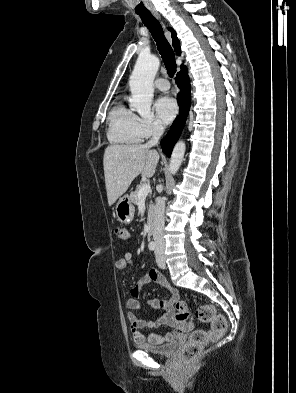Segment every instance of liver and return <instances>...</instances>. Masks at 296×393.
<instances>
[{
  "label": "liver",
  "instance_id": "1",
  "mask_svg": "<svg viewBox=\"0 0 296 393\" xmlns=\"http://www.w3.org/2000/svg\"><path fill=\"white\" fill-rule=\"evenodd\" d=\"M158 161L157 151L150 150L146 144L108 146L103 166L109 206L127 191L138 175L143 179L152 177Z\"/></svg>",
  "mask_w": 296,
  "mask_h": 393
}]
</instances>
